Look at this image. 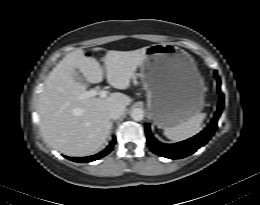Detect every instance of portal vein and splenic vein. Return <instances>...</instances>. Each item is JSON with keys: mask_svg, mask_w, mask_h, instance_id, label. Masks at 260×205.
Instances as JSON below:
<instances>
[{"mask_svg": "<svg viewBox=\"0 0 260 205\" xmlns=\"http://www.w3.org/2000/svg\"><path fill=\"white\" fill-rule=\"evenodd\" d=\"M107 91L106 90H90L86 91L82 95L79 96V99H85V98H90L99 95L102 98H105L107 96Z\"/></svg>", "mask_w": 260, "mask_h": 205, "instance_id": "1", "label": "portal vein and splenic vein"}]
</instances>
